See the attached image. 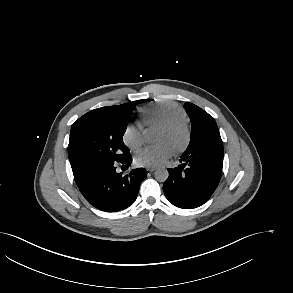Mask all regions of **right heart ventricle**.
<instances>
[{"instance_id": "1", "label": "right heart ventricle", "mask_w": 293, "mask_h": 293, "mask_svg": "<svg viewBox=\"0 0 293 293\" xmlns=\"http://www.w3.org/2000/svg\"><path fill=\"white\" fill-rule=\"evenodd\" d=\"M185 118V112L178 104L160 102L143 109L141 123L143 126L161 127Z\"/></svg>"}]
</instances>
